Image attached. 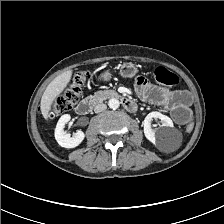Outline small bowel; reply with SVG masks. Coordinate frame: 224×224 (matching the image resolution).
Wrapping results in <instances>:
<instances>
[{"mask_svg":"<svg viewBox=\"0 0 224 224\" xmlns=\"http://www.w3.org/2000/svg\"><path fill=\"white\" fill-rule=\"evenodd\" d=\"M138 96L145 102L166 108L170 111L174 120L179 124L187 122L188 118H180L183 111H187L192 97L184 90H169L153 85L143 78H138L135 83Z\"/></svg>","mask_w":224,"mask_h":224,"instance_id":"small-bowel-1","label":"small bowel"}]
</instances>
